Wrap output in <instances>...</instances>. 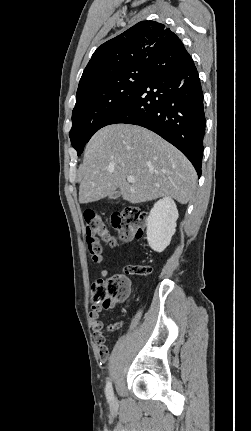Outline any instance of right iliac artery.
I'll return each instance as SVG.
<instances>
[{
  "instance_id": "1",
  "label": "right iliac artery",
  "mask_w": 251,
  "mask_h": 431,
  "mask_svg": "<svg viewBox=\"0 0 251 431\" xmlns=\"http://www.w3.org/2000/svg\"><path fill=\"white\" fill-rule=\"evenodd\" d=\"M106 395H107L108 400H113L114 394H113L112 384L110 381H108L107 385H106Z\"/></svg>"
}]
</instances>
